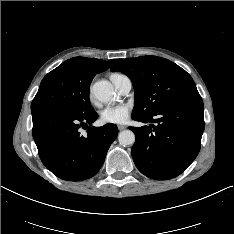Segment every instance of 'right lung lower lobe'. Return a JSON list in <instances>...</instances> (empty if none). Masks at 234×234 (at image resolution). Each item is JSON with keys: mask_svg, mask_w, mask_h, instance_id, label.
<instances>
[{"mask_svg": "<svg viewBox=\"0 0 234 234\" xmlns=\"http://www.w3.org/2000/svg\"><path fill=\"white\" fill-rule=\"evenodd\" d=\"M31 112L40 159L53 174L63 180L81 181L99 171L118 135L116 125L92 126L98 118L94 110L78 114L58 107H38ZM81 126L86 127L87 135L80 134Z\"/></svg>", "mask_w": 234, "mask_h": 234, "instance_id": "1", "label": "right lung lower lobe"}]
</instances>
